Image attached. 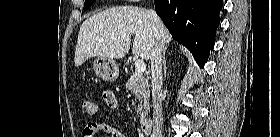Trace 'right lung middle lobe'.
Listing matches in <instances>:
<instances>
[{"label": "right lung middle lobe", "mask_w": 280, "mask_h": 137, "mask_svg": "<svg viewBox=\"0 0 280 137\" xmlns=\"http://www.w3.org/2000/svg\"><path fill=\"white\" fill-rule=\"evenodd\" d=\"M95 0H85L84 3V10H87L93 3Z\"/></svg>", "instance_id": "1"}]
</instances>
